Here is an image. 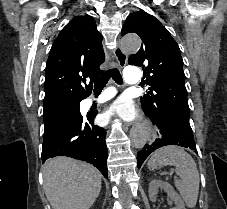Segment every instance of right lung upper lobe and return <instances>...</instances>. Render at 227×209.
Segmentation results:
<instances>
[{
	"label": "right lung upper lobe",
	"mask_w": 227,
	"mask_h": 209,
	"mask_svg": "<svg viewBox=\"0 0 227 209\" xmlns=\"http://www.w3.org/2000/svg\"><path fill=\"white\" fill-rule=\"evenodd\" d=\"M101 41L89 15L77 16L61 30L46 64L44 106L80 102L90 95L93 80L103 73L99 69L105 61Z\"/></svg>",
	"instance_id": "obj_1"
}]
</instances>
